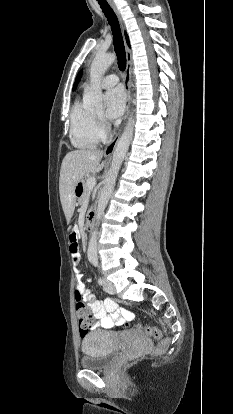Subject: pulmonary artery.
Here are the masks:
<instances>
[{
	"label": "pulmonary artery",
	"mask_w": 233,
	"mask_h": 414,
	"mask_svg": "<svg viewBox=\"0 0 233 414\" xmlns=\"http://www.w3.org/2000/svg\"><path fill=\"white\" fill-rule=\"evenodd\" d=\"M118 76L115 74L105 76L101 81V86L104 88H110L118 83Z\"/></svg>",
	"instance_id": "e3ab8cb5"
}]
</instances>
